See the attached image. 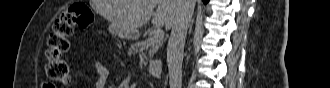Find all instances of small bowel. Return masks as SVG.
<instances>
[{
    "mask_svg": "<svg viewBox=\"0 0 330 88\" xmlns=\"http://www.w3.org/2000/svg\"><path fill=\"white\" fill-rule=\"evenodd\" d=\"M93 66L98 74L96 87L103 88L109 76L108 68L98 59L93 60Z\"/></svg>",
    "mask_w": 330,
    "mask_h": 88,
    "instance_id": "obj_1",
    "label": "small bowel"
}]
</instances>
